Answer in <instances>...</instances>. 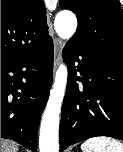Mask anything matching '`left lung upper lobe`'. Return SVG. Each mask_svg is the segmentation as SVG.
Masks as SVG:
<instances>
[{"instance_id":"left-lung-upper-lobe-1","label":"left lung upper lobe","mask_w":123,"mask_h":152,"mask_svg":"<svg viewBox=\"0 0 123 152\" xmlns=\"http://www.w3.org/2000/svg\"><path fill=\"white\" fill-rule=\"evenodd\" d=\"M59 4L78 19L69 41L123 62V10L118 0H60Z\"/></svg>"}]
</instances>
